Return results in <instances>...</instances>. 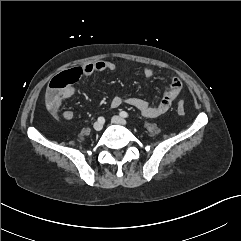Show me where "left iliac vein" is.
<instances>
[{"label": "left iliac vein", "instance_id": "1", "mask_svg": "<svg viewBox=\"0 0 241 241\" xmlns=\"http://www.w3.org/2000/svg\"><path fill=\"white\" fill-rule=\"evenodd\" d=\"M112 123L120 124V125H126L127 121L124 118L120 117V116H113L112 117Z\"/></svg>", "mask_w": 241, "mask_h": 241}]
</instances>
